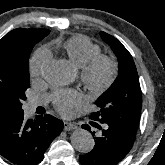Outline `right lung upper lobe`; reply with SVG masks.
I'll list each match as a JSON object with an SVG mask.
<instances>
[{
    "instance_id": "1",
    "label": "right lung upper lobe",
    "mask_w": 165,
    "mask_h": 165,
    "mask_svg": "<svg viewBox=\"0 0 165 165\" xmlns=\"http://www.w3.org/2000/svg\"><path fill=\"white\" fill-rule=\"evenodd\" d=\"M30 33H48L49 34V30H46V29H21V28L14 29L0 40V44L9 43L11 41L18 39L20 36H22L24 34H30ZM4 118H5L4 116L0 115V120H2Z\"/></svg>"
}]
</instances>
